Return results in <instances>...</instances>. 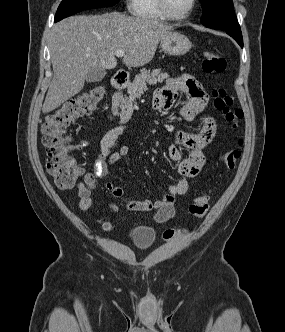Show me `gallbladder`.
I'll list each match as a JSON object with an SVG mask.
<instances>
[{
	"label": "gallbladder",
	"mask_w": 285,
	"mask_h": 332,
	"mask_svg": "<svg viewBox=\"0 0 285 332\" xmlns=\"http://www.w3.org/2000/svg\"><path fill=\"white\" fill-rule=\"evenodd\" d=\"M106 71L104 68L93 67L87 73L85 80L88 83L100 82L104 79Z\"/></svg>",
	"instance_id": "obj_1"
}]
</instances>
